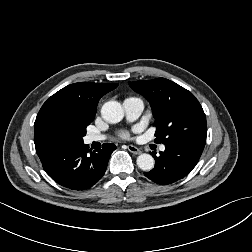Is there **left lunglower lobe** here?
<instances>
[{
  "label": "left lung lower lobe",
  "instance_id": "obj_1",
  "mask_svg": "<svg viewBox=\"0 0 252 252\" xmlns=\"http://www.w3.org/2000/svg\"><path fill=\"white\" fill-rule=\"evenodd\" d=\"M204 146L195 143L182 142L165 145V151L160 152L155 159V167L144 175L160 185L174 183L185 177L196 166Z\"/></svg>",
  "mask_w": 252,
  "mask_h": 252
}]
</instances>
